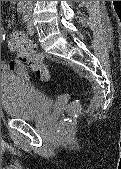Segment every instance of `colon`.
I'll return each mask as SVG.
<instances>
[{"label": "colon", "instance_id": "1", "mask_svg": "<svg viewBox=\"0 0 121 169\" xmlns=\"http://www.w3.org/2000/svg\"><path fill=\"white\" fill-rule=\"evenodd\" d=\"M8 46L13 51L18 61L27 65L29 69L34 71L37 77L41 80H47L49 78V68L44 63L43 58L35 51L33 44L28 42L26 38L19 33H12L8 40ZM74 106L71 107V111L74 110ZM56 133L60 137H64L67 133V124H60Z\"/></svg>", "mask_w": 121, "mask_h": 169}]
</instances>
